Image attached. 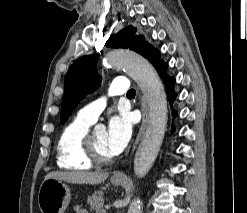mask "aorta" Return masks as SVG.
<instances>
[{
    "label": "aorta",
    "instance_id": "762f6f07",
    "mask_svg": "<svg viewBox=\"0 0 247 213\" xmlns=\"http://www.w3.org/2000/svg\"><path fill=\"white\" fill-rule=\"evenodd\" d=\"M103 62L108 66L124 68L140 87L148 106L147 129L134 158V172L141 178L151 169L164 139L168 118L166 93L153 66L133 51H110ZM141 212L140 201H133L128 213Z\"/></svg>",
    "mask_w": 247,
    "mask_h": 213
}]
</instances>
